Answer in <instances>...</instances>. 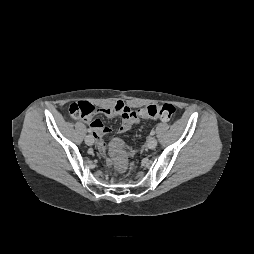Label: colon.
<instances>
[{
  "label": "colon",
  "instance_id": "5ec220e1",
  "mask_svg": "<svg viewBox=\"0 0 254 254\" xmlns=\"http://www.w3.org/2000/svg\"><path fill=\"white\" fill-rule=\"evenodd\" d=\"M95 112V107L87 102L73 103L68 107L69 115L75 119L89 120ZM135 114L142 118L170 121L175 114V107L168 103L151 104L135 110ZM113 147L116 153V165L123 170L126 168V161L121 154V143L116 141Z\"/></svg>",
  "mask_w": 254,
  "mask_h": 254
}]
</instances>
